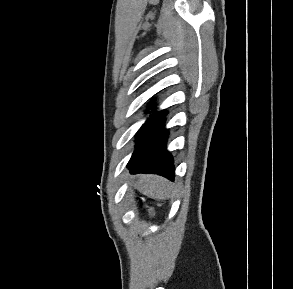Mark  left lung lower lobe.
I'll return each mask as SVG.
<instances>
[{"label": "left lung lower lobe", "instance_id": "0a47b994", "mask_svg": "<svg viewBox=\"0 0 293 289\" xmlns=\"http://www.w3.org/2000/svg\"><path fill=\"white\" fill-rule=\"evenodd\" d=\"M165 115V111L154 113L138 131L136 149L127 165L131 173H153L173 181L174 165L165 148Z\"/></svg>", "mask_w": 293, "mask_h": 289}]
</instances>
